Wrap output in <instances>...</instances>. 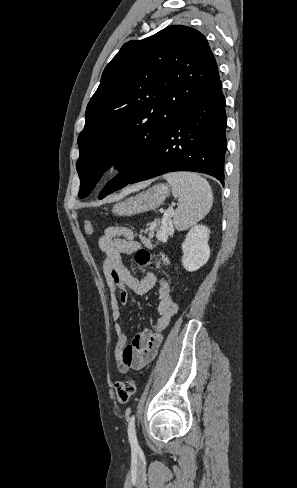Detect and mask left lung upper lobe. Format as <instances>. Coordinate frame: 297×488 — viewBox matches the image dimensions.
Segmentation results:
<instances>
[{"label": "left lung upper lobe", "instance_id": "left-lung-upper-lobe-1", "mask_svg": "<svg viewBox=\"0 0 297 488\" xmlns=\"http://www.w3.org/2000/svg\"><path fill=\"white\" fill-rule=\"evenodd\" d=\"M219 79L206 38L191 27L170 26L125 43L87 105L78 137L79 197L90 194L115 163L121 172L99 198L126 186L179 118Z\"/></svg>", "mask_w": 297, "mask_h": 488}]
</instances>
